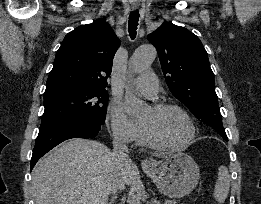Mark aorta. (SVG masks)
Instances as JSON below:
<instances>
[{"label": "aorta", "instance_id": "1", "mask_svg": "<svg viewBox=\"0 0 261 204\" xmlns=\"http://www.w3.org/2000/svg\"><path fill=\"white\" fill-rule=\"evenodd\" d=\"M155 57L156 50L153 46H141L135 50L131 57L130 68L136 73H141L150 67ZM125 106L128 115L132 118H139L143 116L146 111V103L132 92H126ZM129 204H141L139 192L131 196Z\"/></svg>", "mask_w": 261, "mask_h": 204}]
</instances>
